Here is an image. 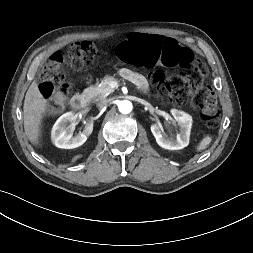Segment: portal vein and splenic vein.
Masks as SVG:
<instances>
[{
	"label": "portal vein and splenic vein",
	"instance_id": "1",
	"mask_svg": "<svg viewBox=\"0 0 253 253\" xmlns=\"http://www.w3.org/2000/svg\"><path fill=\"white\" fill-rule=\"evenodd\" d=\"M113 85H114V87H116V86H117V83H116V82H113Z\"/></svg>",
	"mask_w": 253,
	"mask_h": 253
}]
</instances>
